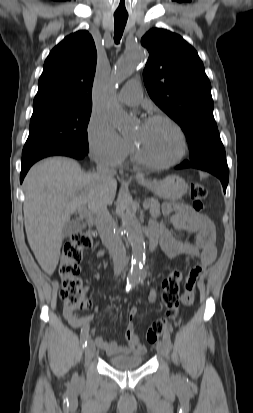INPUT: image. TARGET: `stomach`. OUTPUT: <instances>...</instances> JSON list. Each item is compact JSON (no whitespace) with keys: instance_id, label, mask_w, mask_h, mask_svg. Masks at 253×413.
<instances>
[{"instance_id":"stomach-1","label":"stomach","mask_w":253,"mask_h":413,"mask_svg":"<svg viewBox=\"0 0 253 413\" xmlns=\"http://www.w3.org/2000/svg\"><path fill=\"white\" fill-rule=\"evenodd\" d=\"M142 184L158 197L170 201L180 199L188 190V184L185 180L176 175H170L163 180H153Z\"/></svg>"}]
</instances>
